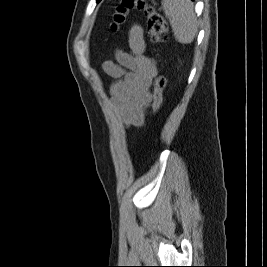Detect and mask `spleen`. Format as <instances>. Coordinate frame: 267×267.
<instances>
[{
  "label": "spleen",
  "mask_w": 267,
  "mask_h": 267,
  "mask_svg": "<svg viewBox=\"0 0 267 267\" xmlns=\"http://www.w3.org/2000/svg\"><path fill=\"white\" fill-rule=\"evenodd\" d=\"M162 6L175 39L182 44L191 43L198 31L197 17L191 0H162Z\"/></svg>",
  "instance_id": "obj_1"
}]
</instances>
